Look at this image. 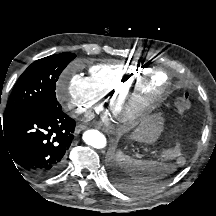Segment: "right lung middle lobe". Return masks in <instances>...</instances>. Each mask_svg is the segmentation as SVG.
<instances>
[{
    "mask_svg": "<svg viewBox=\"0 0 216 216\" xmlns=\"http://www.w3.org/2000/svg\"><path fill=\"white\" fill-rule=\"evenodd\" d=\"M75 57L73 53L64 52L33 62L16 82L3 120L19 116L32 109L59 105L55 92L56 81Z\"/></svg>",
    "mask_w": 216,
    "mask_h": 216,
    "instance_id": "right-lung-middle-lobe-1",
    "label": "right lung middle lobe"
}]
</instances>
